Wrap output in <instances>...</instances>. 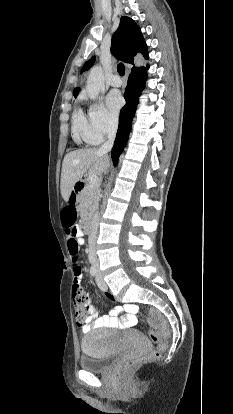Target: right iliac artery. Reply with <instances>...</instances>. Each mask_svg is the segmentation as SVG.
Wrapping results in <instances>:
<instances>
[{"mask_svg": "<svg viewBox=\"0 0 233 414\" xmlns=\"http://www.w3.org/2000/svg\"><path fill=\"white\" fill-rule=\"evenodd\" d=\"M90 274L92 276H96L97 275V270H96V268L94 266H91L90 267Z\"/></svg>", "mask_w": 233, "mask_h": 414, "instance_id": "obj_1", "label": "right iliac artery"}]
</instances>
